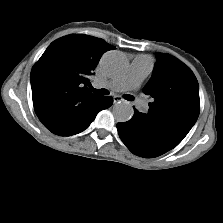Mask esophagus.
Masks as SVG:
<instances>
[{
	"instance_id": "obj_1",
	"label": "esophagus",
	"mask_w": 223,
	"mask_h": 223,
	"mask_svg": "<svg viewBox=\"0 0 223 223\" xmlns=\"http://www.w3.org/2000/svg\"><path fill=\"white\" fill-rule=\"evenodd\" d=\"M120 101H122V98H121V97H119V96H115V97H113V102H114V103H118V102H120Z\"/></svg>"
}]
</instances>
